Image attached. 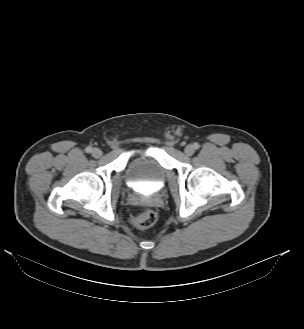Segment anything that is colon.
<instances>
[{
  "label": "colon",
  "instance_id": "5ec220e1",
  "mask_svg": "<svg viewBox=\"0 0 304 329\" xmlns=\"http://www.w3.org/2000/svg\"><path fill=\"white\" fill-rule=\"evenodd\" d=\"M130 222L137 229H147L156 222V214L153 210L146 209L141 214L132 216Z\"/></svg>",
  "mask_w": 304,
  "mask_h": 329
}]
</instances>
